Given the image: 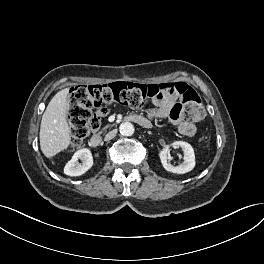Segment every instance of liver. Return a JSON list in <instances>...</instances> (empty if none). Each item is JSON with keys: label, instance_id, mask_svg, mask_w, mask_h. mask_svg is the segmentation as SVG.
I'll return each instance as SVG.
<instances>
[{"label": "liver", "instance_id": "6515ba94", "mask_svg": "<svg viewBox=\"0 0 264 264\" xmlns=\"http://www.w3.org/2000/svg\"><path fill=\"white\" fill-rule=\"evenodd\" d=\"M69 88L59 91L49 102L41 120L40 148L51 158L70 145V128L66 120Z\"/></svg>", "mask_w": 264, "mask_h": 264}]
</instances>
